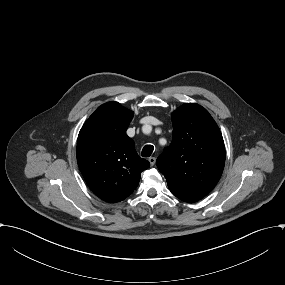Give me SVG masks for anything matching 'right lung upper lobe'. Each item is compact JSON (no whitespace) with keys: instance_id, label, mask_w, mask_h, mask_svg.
Wrapping results in <instances>:
<instances>
[{"instance_id":"cb5924a9","label":"right lung upper lobe","mask_w":285,"mask_h":285,"mask_svg":"<svg viewBox=\"0 0 285 285\" xmlns=\"http://www.w3.org/2000/svg\"><path fill=\"white\" fill-rule=\"evenodd\" d=\"M134 113L108 102L89 117L77 141V162L89 188L106 202L127 198L150 163L138 156L126 130Z\"/></svg>"}]
</instances>
